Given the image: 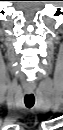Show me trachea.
I'll list each match as a JSON object with an SVG mask.
<instances>
[{
  "mask_svg": "<svg viewBox=\"0 0 63 130\" xmlns=\"http://www.w3.org/2000/svg\"><path fill=\"white\" fill-rule=\"evenodd\" d=\"M24 102L27 108H31L35 103V97L33 94H26Z\"/></svg>",
  "mask_w": 63,
  "mask_h": 130,
  "instance_id": "3493384b",
  "label": "trachea"
}]
</instances>
